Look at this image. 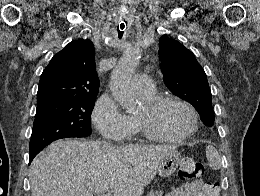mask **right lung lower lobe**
Returning <instances> with one entry per match:
<instances>
[{"mask_svg": "<svg viewBox=\"0 0 260 196\" xmlns=\"http://www.w3.org/2000/svg\"><path fill=\"white\" fill-rule=\"evenodd\" d=\"M40 150L30 151L29 153V161L31 162L32 159L36 156L37 153H39Z\"/></svg>", "mask_w": 260, "mask_h": 196, "instance_id": "right-lung-lower-lobe-1", "label": "right lung lower lobe"}]
</instances>
